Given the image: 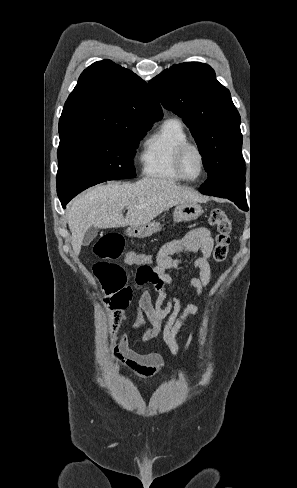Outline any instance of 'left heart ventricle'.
I'll use <instances>...</instances> for the list:
<instances>
[{
    "label": "left heart ventricle",
    "mask_w": 297,
    "mask_h": 488,
    "mask_svg": "<svg viewBox=\"0 0 297 488\" xmlns=\"http://www.w3.org/2000/svg\"><path fill=\"white\" fill-rule=\"evenodd\" d=\"M183 168L187 176L196 177L201 169V161L198 153L190 149L186 152L183 159Z\"/></svg>",
    "instance_id": "1"
}]
</instances>
